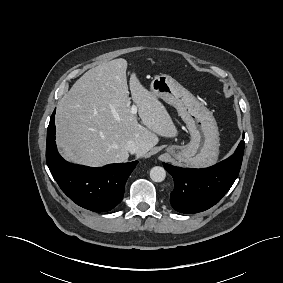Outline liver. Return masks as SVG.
Masks as SVG:
<instances>
[{"label": "liver", "mask_w": 283, "mask_h": 283, "mask_svg": "<svg viewBox=\"0 0 283 283\" xmlns=\"http://www.w3.org/2000/svg\"><path fill=\"white\" fill-rule=\"evenodd\" d=\"M127 61L119 58L88 70L61 98L56 111L57 144L62 156L91 167L125 162L126 143L140 146L145 155L158 136L178 134L169 113L157 97L130 77V91L141 123L131 113Z\"/></svg>", "instance_id": "liver-1"}]
</instances>
